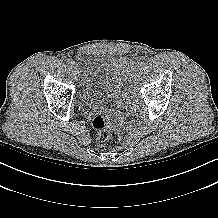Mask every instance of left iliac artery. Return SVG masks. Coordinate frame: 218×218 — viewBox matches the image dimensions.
<instances>
[{"label":"left iliac artery","instance_id":"left-iliac-artery-1","mask_svg":"<svg viewBox=\"0 0 218 218\" xmlns=\"http://www.w3.org/2000/svg\"><path fill=\"white\" fill-rule=\"evenodd\" d=\"M139 64H141V65H144V61H140V63Z\"/></svg>","mask_w":218,"mask_h":218}]
</instances>
